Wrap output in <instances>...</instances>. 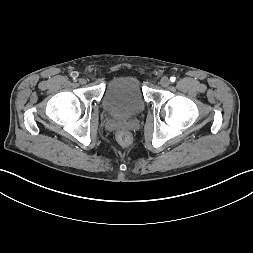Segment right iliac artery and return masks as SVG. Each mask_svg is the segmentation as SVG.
I'll return each instance as SVG.
<instances>
[{"label": "right iliac artery", "instance_id": "right-iliac-artery-1", "mask_svg": "<svg viewBox=\"0 0 253 253\" xmlns=\"http://www.w3.org/2000/svg\"><path fill=\"white\" fill-rule=\"evenodd\" d=\"M77 77H78V74H72V78H73L74 80H76Z\"/></svg>", "mask_w": 253, "mask_h": 253}]
</instances>
